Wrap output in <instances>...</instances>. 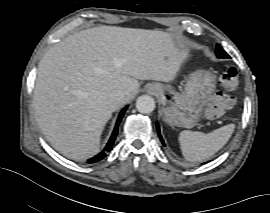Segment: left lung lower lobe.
Returning a JSON list of instances; mask_svg holds the SVG:
<instances>
[{
	"label": "left lung lower lobe",
	"mask_w": 270,
	"mask_h": 213,
	"mask_svg": "<svg viewBox=\"0 0 270 213\" xmlns=\"http://www.w3.org/2000/svg\"><path fill=\"white\" fill-rule=\"evenodd\" d=\"M157 131H158V135L160 137V140H161L162 144L164 145V141H163V139H162V137L160 135V128H159L158 124H157Z\"/></svg>",
	"instance_id": "0a47b994"
}]
</instances>
